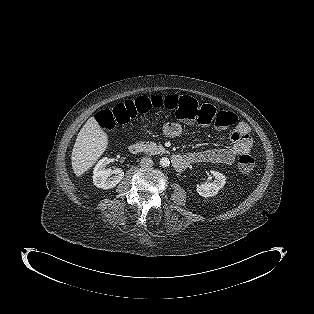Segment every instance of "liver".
Returning <instances> with one entry per match:
<instances>
[{"label": "liver", "mask_w": 314, "mask_h": 314, "mask_svg": "<svg viewBox=\"0 0 314 314\" xmlns=\"http://www.w3.org/2000/svg\"><path fill=\"white\" fill-rule=\"evenodd\" d=\"M108 135L94 117L88 119L78 133L71 156L72 169L77 177L88 171L106 151Z\"/></svg>", "instance_id": "obj_1"}]
</instances>
